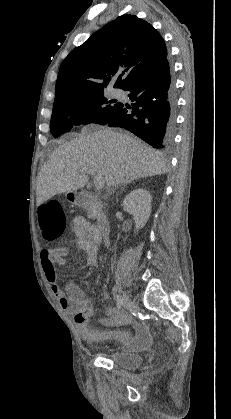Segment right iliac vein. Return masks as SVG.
<instances>
[{
  "mask_svg": "<svg viewBox=\"0 0 231 419\" xmlns=\"http://www.w3.org/2000/svg\"><path fill=\"white\" fill-rule=\"evenodd\" d=\"M132 302L129 296L126 293L122 294V306L125 309H128L131 306Z\"/></svg>",
  "mask_w": 231,
  "mask_h": 419,
  "instance_id": "obj_1",
  "label": "right iliac vein"
}]
</instances>
